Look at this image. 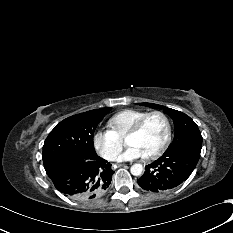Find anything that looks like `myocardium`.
<instances>
[{
  "instance_id": "f54148a6",
  "label": "myocardium",
  "mask_w": 233,
  "mask_h": 233,
  "mask_svg": "<svg viewBox=\"0 0 233 233\" xmlns=\"http://www.w3.org/2000/svg\"><path fill=\"white\" fill-rule=\"evenodd\" d=\"M153 115H159L163 118L165 125H166V135H165L162 143L154 151L145 155V157L149 158V159L154 158V157L158 156L159 154H161L165 150V148L167 147L168 143L170 142L171 132H172L171 122H170L168 115L165 112L160 111V110L147 112L126 132V134L124 136V141L126 142V139L132 135L137 134L141 130L145 121Z\"/></svg>"
}]
</instances>
